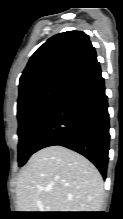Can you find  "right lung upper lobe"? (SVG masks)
<instances>
[{"instance_id": "cb5924a9", "label": "right lung upper lobe", "mask_w": 123, "mask_h": 219, "mask_svg": "<svg viewBox=\"0 0 123 219\" xmlns=\"http://www.w3.org/2000/svg\"><path fill=\"white\" fill-rule=\"evenodd\" d=\"M97 62L89 37L82 31H67L48 39L31 56L19 83V97L53 81H69Z\"/></svg>"}]
</instances>
